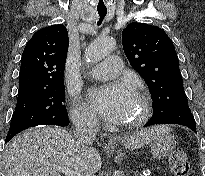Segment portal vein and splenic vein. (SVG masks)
<instances>
[{"mask_svg":"<svg viewBox=\"0 0 205 176\" xmlns=\"http://www.w3.org/2000/svg\"><path fill=\"white\" fill-rule=\"evenodd\" d=\"M44 163L48 165L49 167L55 169L56 171L63 173L65 176H91L89 174L78 173L76 171L69 169L66 166H60V165H56L50 162H44Z\"/></svg>","mask_w":205,"mask_h":176,"instance_id":"1","label":"portal vein and splenic vein"}]
</instances>
